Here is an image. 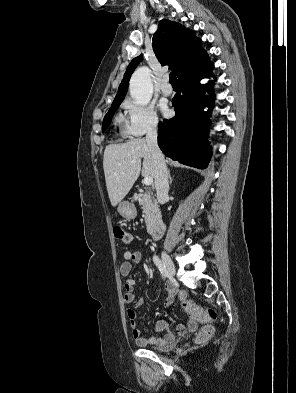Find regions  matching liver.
Listing matches in <instances>:
<instances>
[{
    "mask_svg": "<svg viewBox=\"0 0 296 393\" xmlns=\"http://www.w3.org/2000/svg\"><path fill=\"white\" fill-rule=\"evenodd\" d=\"M103 169L112 206H116L128 194L140 172L144 177H155L152 153L143 138L108 145L104 151Z\"/></svg>",
    "mask_w": 296,
    "mask_h": 393,
    "instance_id": "liver-1",
    "label": "liver"
}]
</instances>
